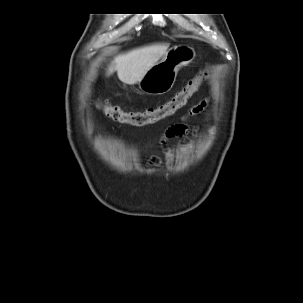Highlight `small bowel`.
<instances>
[{
  "label": "small bowel",
  "instance_id": "obj_1",
  "mask_svg": "<svg viewBox=\"0 0 303 303\" xmlns=\"http://www.w3.org/2000/svg\"><path fill=\"white\" fill-rule=\"evenodd\" d=\"M205 104L201 103L197 106H195L194 108H192L191 110V114H197L199 112H201L204 108ZM188 134V128L186 126L185 123H176L173 124L171 126H169L166 130V132L164 133V135L162 136V138L160 139V147L163 150V152L166 155L170 154V148H169V144L168 141L171 138H178L179 140V146L181 148H185L187 146V140L185 139V136ZM152 162H158V158L154 157L152 159Z\"/></svg>",
  "mask_w": 303,
  "mask_h": 303
}]
</instances>
